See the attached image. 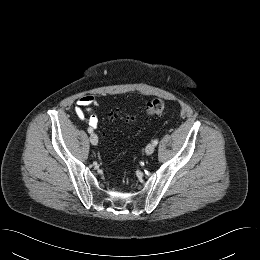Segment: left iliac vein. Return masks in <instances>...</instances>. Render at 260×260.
<instances>
[{"label":"left iliac vein","mask_w":260,"mask_h":260,"mask_svg":"<svg viewBox=\"0 0 260 260\" xmlns=\"http://www.w3.org/2000/svg\"><path fill=\"white\" fill-rule=\"evenodd\" d=\"M154 150H155V145L153 143H149L145 149L147 155L152 154Z\"/></svg>","instance_id":"1"}]
</instances>
